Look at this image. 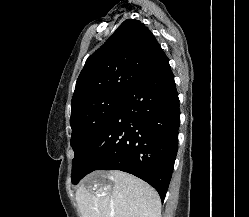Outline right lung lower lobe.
<instances>
[{
  "label": "right lung lower lobe",
  "instance_id": "1",
  "mask_svg": "<svg viewBox=\"0 0 249 217\" xmlns=\"http://www.w3.org/2000/svg\"><path fill=\"white\" fill-rule=\"evenodd\" d=\"M179 123L178 93L165 55L125 95L91 144L79 166L80 179L94 170H121L149 183L164 201Z\"/></svg>",
  "mask_w": 249,
  "mask_h": 217
}]
</instances>
